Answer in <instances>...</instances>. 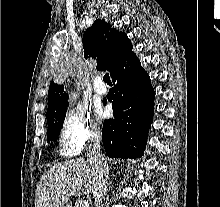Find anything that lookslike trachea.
<instances>
[{
	"mask_svg": "<svg viewBox=\"0 0 220 207\" xmlns=\"http://www.w3.org/2000/svg\"><path fill=\"white\" fill-rule=\"evenodd\" d=\"M104 82H106L107 84L111 83V79L109 74H105L103 77Z\"/></svg>",
	"mask_w": 220,
	"mask_h": 207,
	"instance_id": "1",
	"label": "trachea"
}]
</instances>
